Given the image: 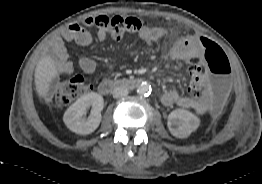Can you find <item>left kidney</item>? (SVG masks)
Instances as JSON below:
<instances>
[{"instance_id":"5707ae66","label":"left kidney","mask_w":262,"mask_h":184,"mask_svg":"<svg viewBox=\"0 0 262 184\" xmlns=\"http://www.w3.org/2000/svg\"><path fill=\"white\" fill-rule=\"evenodd\" d=\"M199 125V118L188 110L176 109L168 116V129L177 138H187Z\"/></svg>"}]
</instances>
